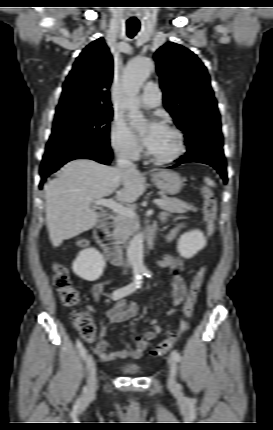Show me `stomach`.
<instances>
[{
    "mask_svg": "<svg viewBox=\"0 0 273 430\" xmlns=\"http://www.w3.org/2000/svg\"><path fill=\"white\" fill-rule=\"evenodd\" d=\"M154 185L166 194L175 195L183 187V179L174 171H159L152 175Z\"/></svg>",
    "mask_w": 273,
    "mask_h": 430,
    "instance_id": "stomach-1",
    "label": "stomach"
}]
</instances>
